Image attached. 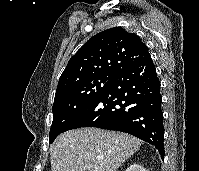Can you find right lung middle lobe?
I'll use <instances>...</instances> for the list:
<instances>
[{"label":"right lung middle lobe","mask_w":199,"mask_h":171,"mask_svg":"<svg viewBox=\"0 0 199 171\" xmlns=\"http://www.w3.org/2000/svg\"><path fill=\"white\" fill-rule=\"evenodd\" d=\"M115 76H98L83 83L54 99L53 122L49 132V141L63 132L73 117L99 93H101Z\"/></svg>","instance_id":"dd1d6c3e"}]
</instances>
